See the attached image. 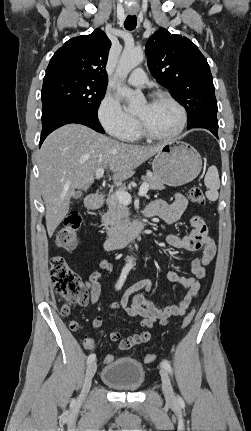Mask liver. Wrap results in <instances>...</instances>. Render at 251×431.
Returning <instances> with one entry per match:
<instances>
[{
    "instance_id": "6515ba94",
    "label": "liver",
    "mask_w": 251,
    "mask_h": 431,
    "mask_svg": "<svg viewBox=\"0 0 251 431\" xmlns=\"http://www.w3.org/2000/svg\"><path fill=\"white\" fill-rule=\"evenodd\" d=\"M163 146L122 143L74 123L52 132L38 152L39 186L49 237L68 214L75 190H87L98 169L109 167L113 180L121 182Z\"/></svg>"
}]
</instances>
